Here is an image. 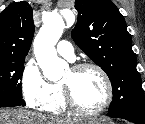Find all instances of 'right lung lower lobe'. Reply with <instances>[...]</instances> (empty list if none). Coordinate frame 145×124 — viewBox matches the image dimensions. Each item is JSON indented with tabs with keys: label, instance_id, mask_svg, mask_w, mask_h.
<instances>
[{
	"label": "right lung lower lobe",
	"instance_id": "98d812e1",
	"mask_svg": "<svg viewBox=\"0 0 145 124\" xmlns=\"http://www.w3.org/2000/svg\"><path fill=\"white\" fill-rule=\"evenodd\" d=\"M14 106H25V102L22 98L0 99V107H14Z\"/></svg>",
	"mask_w": 145,
	"mask_h": 124
}]
</instances>
